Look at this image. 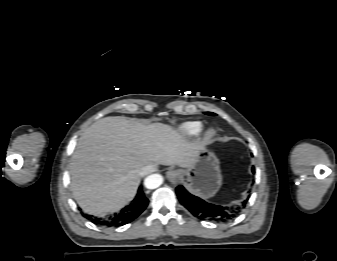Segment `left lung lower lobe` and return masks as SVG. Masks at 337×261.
I'll list each match as a JSON object with an SVG mask.
<instances>
[{
	"instance_id": "1",
	"label": "left lung lower lobe",
	"mask_w": 337,
	"mask_h": 261,
	"mask_svg": "<svg viewBox=\"0 0 337 261\" xmlns=\"http://www.w3.org/2000/svg\"><path fill=\"white\" fill-rule=\"evenodd\" d=\"M252 172L255 173L254 168ZM180 203L196 218L207 221L227 222L234 219L245 207L249 196L234 206H221L205 202L190 194L183 186L176 188Z\"/></svg>"
}]
</instances>
